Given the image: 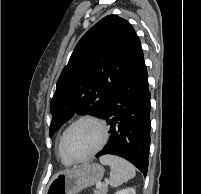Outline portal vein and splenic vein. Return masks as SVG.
<instances>
[{
	"instance_id": "obj_1",
	"label": "portal vein and splenic vein",
	"mask_w": 201,
	"mask_h": 194,
	"mask_svg": "<svg viewBox=\"0 0 201 194\" xmlns=\"http://www.w3.org/2000/svg\"><path fill=\"white\" fill-rule=\"evenodd\" d=\"M96 187L97 189H100L102 187V183H97Z\"/></svg>"
}]
</instances>
